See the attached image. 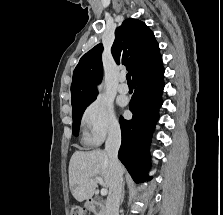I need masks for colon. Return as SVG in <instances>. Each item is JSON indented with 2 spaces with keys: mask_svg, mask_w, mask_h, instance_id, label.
Returning <instances> with one entry per match:
<instances>
[{
  "mask_svg": "<svg viewBox=\"0 0 223 215\" xmlns=\"http://www.w3.org/2000/svg\"><path fill=\"white\" fill-rule=\"evenodd\" d=\"M69 215H86L85 211L80 207H73Z\"/></svg>",
  "mask_w": 223,
  "mask_h": 215,
  "instance_id": "1",
  "label": "colon"
}]
</instances>
